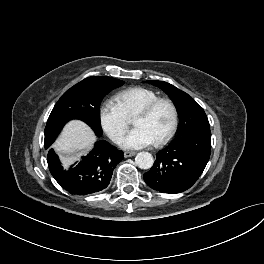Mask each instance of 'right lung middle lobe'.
<instances>
[{"label": "right lung middle lobe", "mask_w": 264, "mask_h": 264, "mask_svg": "<svg viewBox=\"0 0 264 264\" xmlns=\"http://www.w3.org/2000/svg\"><path fill=\"white\" fill-rule=\"evenodd\" d=\"M124 82L111 77H88L67 90L54 106L45 127V148L49 147L63 126L71 119L87 123L102 135L100 126V103L113 89Z\"/></svg>", "instance_id": "right-lung-middle-lobe-1"}]
</instances>
